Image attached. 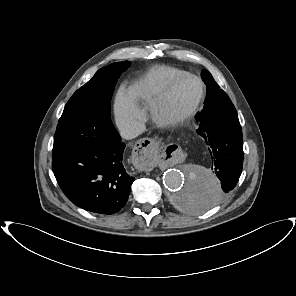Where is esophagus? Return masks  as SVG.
<instances>
[{"instance_id": "esophagus-1", "label": "esophagus", "mask_w": 296, "mask_h": 296, "mask_svg": "<svg viewBox=\"0 0 296 296\" xmlns=\"http://www.w3.org/2000/svg\"><path fill=\"white\" fill-rule=\"evenodd\" d=\"M160 148V142L154 139H142L135 149L132 166L138 172H145L152 168L156 161V152Z\"/></svg>"}]
</instances>
